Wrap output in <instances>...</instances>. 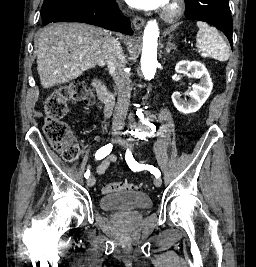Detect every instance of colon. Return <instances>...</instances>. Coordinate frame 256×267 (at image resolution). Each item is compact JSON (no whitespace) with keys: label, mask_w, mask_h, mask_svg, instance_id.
<instances>
[{"label":"colon","mask_w":256,"mask_h":267,"mask_svg":"<svg viewBox=\"0 0 256 267\" xmlns=\"http://www.w3.org/2000/svg\"><path fill=\"white\" fill-rule=\"evenodd\" d=\"M92 102V92L79 80H73L67 85L53 90L45 100L44 132L46 138L61 152L67 162L75 161L80 152L78 146L72 143V135L64 122V118L68 114L67 105L69 103L91 104ZM140 190H142L141 185L131 182H108L102 186V192L105 194Z\"/></svg>","instance_id":"1"}]
</instances>
